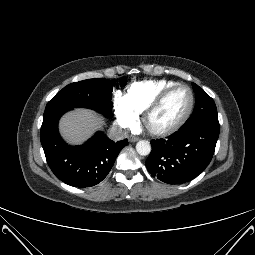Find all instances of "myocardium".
Wrapping results in <instances>:
<instances>
[{
  "label": "myocardium",
  "mask_w": 255,
  "mask_h": 255,
  "mask_svg": "<svg viewBox=\"0 0 255 255\" xmlns=\"http://www.w3.org/2000/svg\"><path fill=\"white\" fill-rule=\"evenodd\" d=\"M179 88H185L188 90L190 94V103L188 106L187 111L185 114L181 117V119L176 122L174 125L164 128V129H155L152 128L149 125V119L152 116V114L162 105L164 100L175 90ZM194 103H195V97L192 89L185 84H175L171 87H168L167 89L163 90L149 105L148 107L144 110L143 112V117H142V123L145 128V130L152 136L155 137H165L169 136L175 132H177L189 119L190 115L192 114L193 108H194Z\"/></svg>",
  "instance_id": "1"
}]
</instances>
